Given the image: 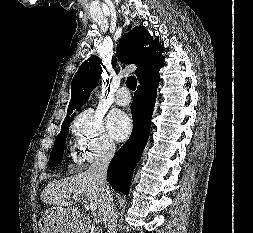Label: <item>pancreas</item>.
Instances as JSON below:
<instances>
[{"mask_svg":"<svg viewBox=\"0 0 253 233\" xmlns=\"http://www.w3.org/2000/svg\"><path fill=\"white\" fill-rule=\"evenodd\" d=\"M91 230L93 231V233H100V226H92Z\"/></svg>","mask_w":253,"mask_h":233,"instance_id":"pancreas-1","label":"pancreas"}]
</instances>
